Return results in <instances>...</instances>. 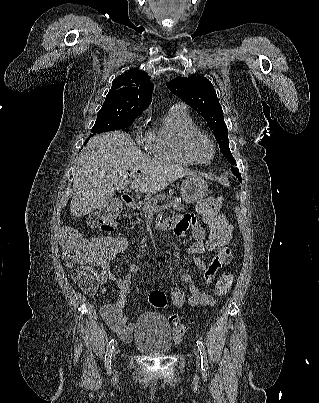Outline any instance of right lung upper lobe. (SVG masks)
I'll use <instances>...</instances> for the list:
<instances>
[{"label":"right lung upper lobe","mask_w":319,"mask_h":403,"mask_svg":"<svg viewBox=\"0 0 319 403\" xmlns=\"http://www.w3.org/2000/svg\"><path fill=\"white\" fill-rule=\"evenodd\" d=\"M149 79L147 73L135 69L119 75L113 80L104 105H124L143 112L151 103L153 84Z\"/></svg>","instance_id":"obj_1"}]
</instances>
